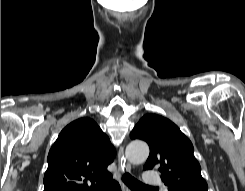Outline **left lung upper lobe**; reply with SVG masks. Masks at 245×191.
Listing matches in <instances>:
<instances>
[{"mask_svg": "<svg viewBox=\"0 0 245 191\" xmlns=\"http://www.w3.org/2000/svg\"><path fill=\"white\" fill-rule=\"evenodd\" d=\"M131 139H141L150 147L144 170L155 166L169 191H207L201 166L193 155L191 141L171 120L157 115H144L130 133Z\"/></svg>", "mask_w": 245, "mask_h": 191, "instance_id": "obj_1", "label": "left lung upper lobe"}]
</instances>
